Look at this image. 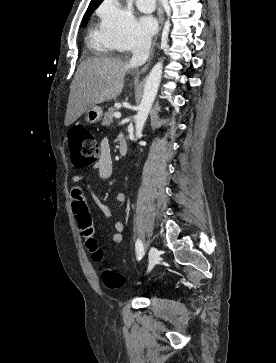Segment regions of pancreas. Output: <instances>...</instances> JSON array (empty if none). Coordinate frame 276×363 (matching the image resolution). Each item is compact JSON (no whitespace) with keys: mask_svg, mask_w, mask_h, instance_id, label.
Wrapping results in <instances>:
<instances>
[{"mask_svg":"<svg viewBox=\"0 0 276 363\" xmlns=\"http://www.w3.org/2000/svg\"><path fill=\"white\" fill-rule=\"evenodd\" d=\"M114 113H115V108L114 107H110L108 109V111L105 112L104 118L102 120V125L103 126H109L111 123H113Z\"/></svg>","mask_w":276,"mask_h":363,"instance_id":"cf45deb5","label":"pancreas"}]
</instances>
